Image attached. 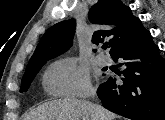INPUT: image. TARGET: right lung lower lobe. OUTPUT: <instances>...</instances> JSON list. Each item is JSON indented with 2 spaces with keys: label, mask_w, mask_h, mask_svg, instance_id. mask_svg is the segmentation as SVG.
Returning <instances> with one entry per match:
<instances>
[{
  "label": "right lung lower lobe",
  "mask_w": 165,
  "mask_h": 120,
  "mask_svg": "<svg viewBox=\"0 0 165 120\" xmlns=\"http://www.w3.org/2000/svg\"><path fill=\"white\" fill-rule=\"evenodd\" d=\"M112 58L126 69L122 85L110 77L99 87L103 106L132 120H165V59L150 32Z\"/></svg>",
  "instance_id": "obj_1"
}]
</instances>
